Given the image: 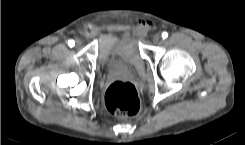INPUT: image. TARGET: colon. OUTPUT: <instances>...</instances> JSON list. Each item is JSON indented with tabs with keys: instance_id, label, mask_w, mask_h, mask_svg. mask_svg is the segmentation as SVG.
Returning a JSON list of instances; mask_svg holds the SVG:
<instances>
[{
	"instance_id": "obj_1",
	"label": "colon",
	"mask_w": 245,
	"mask_h": 145,
	"mask_svg": "<svg viewBox=\"0 0 245 145\" xmlns=\"http://www.w3.org/2000/svg\"><path fill=\"white\" fill-rule=\"evenodd\" d=\"M147 25L146 21H139L140 27ZM105 103L111 113L120 117L134 115L140 108L135 86L124 81H114L109 85L105 94Z\"/></svg>"
}]
</instances>
